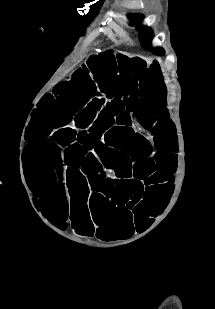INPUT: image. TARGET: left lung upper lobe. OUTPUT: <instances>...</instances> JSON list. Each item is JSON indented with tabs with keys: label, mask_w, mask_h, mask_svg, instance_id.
I'll return each mask as SVG.
<instances>
[{
	"label": "left lung upper lobe",
	"mask_w": 215,
	"mask_h": 309,
	"mask_svg": "<svg viewBox=\"0 0 215 309\" xmlns=\"http://www.w3.org/2000/svg\"><path fill=\"white\" fill-rule=\"evenodd\" d=\"M134 18L138 19V16H134ZM139 36H140V41L144 47H148L151 39H152V32L148 28H139ZM151 51L155 53H160L162 52L161 48H152L150 49Z\"/></svg>",
	"instance_id": "obj_1"
}]
</instances>
